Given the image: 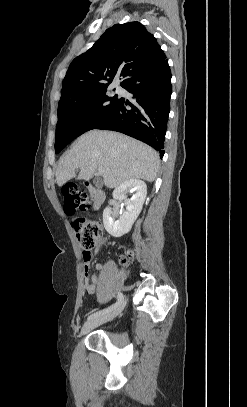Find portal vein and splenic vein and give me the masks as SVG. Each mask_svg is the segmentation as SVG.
Listing matches in <instances>:
<instances>
[{
  "mask_svg": "<svg viewBox=\"0 0 247 407\" xmlns=\"http://www.w3.org/2000/svg\"><path fill=\"white\" fill-rule=\"evenodd\" d=\"M103 173L102 169H98V174L101 175Z\"/></svg>",
  "mask_w": 247,
  "mask_h": 407,
  "instance_id": "1",
  "label": "portal vein and splenic vein"
}]
</instances>
